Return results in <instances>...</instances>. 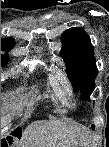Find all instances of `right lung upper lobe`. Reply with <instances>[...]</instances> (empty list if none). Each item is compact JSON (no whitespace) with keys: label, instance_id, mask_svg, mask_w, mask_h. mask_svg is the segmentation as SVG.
<instances>
[{"label":"right lung upper lobe","instance_id":"cb5924a9","mask_svg":"<svg viewBox=\"0 0 109 147\" xmlns=\"http://www.w3.org/2000/svg\"><path fill=\"white\" fill-rule=\"evenodd\" d=\"M15 45V40L13 38H5L1 40V50L9 51L11 50ZM8 60L7 55L1 56V65H6V61Z\"/></svg>","mask_w":109,"mask_h":147}]
</instances>
